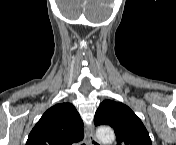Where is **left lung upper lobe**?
<instances>
[{"label":"left lung upper lobe","mask_w":176,"mask_h":145,"mask_svg":"<svg viewBox=\"0 0 176 145\" xmlns=\"http://www.w3.org/2000/svg\"><path fill=\"white\" fill-rule=\"evenodd\" d=\"M94 123L113 127L117 145H152L149 133L141 120L123 103L103 101L96 111Z\"/></svg>","instance_id":"5c2ea615"}]
</instances>
